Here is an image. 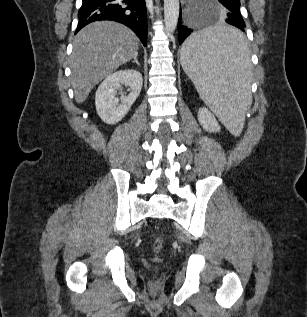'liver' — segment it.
Segmentation results:
<instances>
[{"label": "liver", "instance_id": "liver-1", "mask_svg": "<svg viewBox=\"0 0 307 317\" xmlns=\"http://www.w3.org/2000/svg\"><path fill=\"white\" fill-rule=\"evenodd\" d=\"M139 43L133 31L113 21L93 22L79 31L70 65L76 102L83 103L96 84L138 55Z\"/></svg>", "mask_w": 307, "mask_h": 317}]
</instances>
